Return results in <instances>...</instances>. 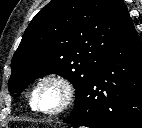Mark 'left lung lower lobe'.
I'll use <instances>...</instances> for the list:
<instances>
[{
  "instance_id": "0a47b994",
  "label": "left lung lower lobe",
  "mask_w": 142,
  "mask_h": 128,
  "mask_svg": "<svg viewBox=\"0 0 142 128\" xmlns=\"http://www.w3.org/2000/svg\"><path fill=\"white\" fill-rule=\"evenodd\" d=\"M63 122L89 128H142V43L137 33L107 53Z\"/></svg>"
}]
</instances>
